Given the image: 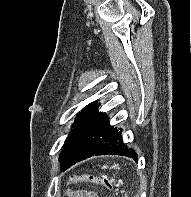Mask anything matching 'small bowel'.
I'll return each instance as SVG.
<instances>
[{"label": "small bowel", "instance_id": "1", "mask_svg": "<svg viewBox=\"0 0 191 197\" xmlns=\"http://www.w3.org/2000/svg\"><path fill=\"white\" fill-rule=\"evenodd\" d=\"M68 194L70 197H97V195L94 192L85 189L70 191Z\"/></svg>", "mask_w": 191, "mask_h": 197}]
</instances>
